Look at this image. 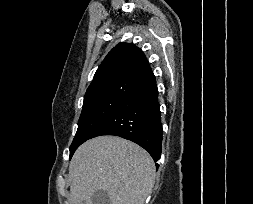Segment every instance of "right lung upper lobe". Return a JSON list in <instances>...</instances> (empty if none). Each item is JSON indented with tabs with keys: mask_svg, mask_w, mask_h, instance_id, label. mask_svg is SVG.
Here are the masks:
<instances>
[{
	"mask_svg": "<svg viewBox=\"0 0 253 204\" xmlns=\"http://www.w3.org/2000/svg\"><path fill=\"white\" fill-rule=\"evenodd\" d=\"M151 72L141 49L133 44L119 43L98 67L87 91L120 81L139 82Z\"/></svg>",
	"mask_w": 253,
	"mask_h": 204,
	"instance_id": "cb5924a9",
	"label": "right lung upper lobe"
}]
</instances>
